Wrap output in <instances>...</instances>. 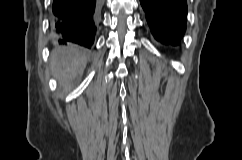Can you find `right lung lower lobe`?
Segmentation results:
<instances>
[{
  "label": "right lung lower lobe",
  "mask_w": 242,
  "mask_h": 160,
  "mask_svg": "<svg viewBox=\"0 0 242 160\" xmlns=\"http://www.w3.org/2000/svg\"><path fill=\"white\" fill-rule=\"evenodd\" d=\"M102 0H53L51 28L60 44L90 48Z\"/></svg>",
  "instance_id": "1"
}]
</instances>
